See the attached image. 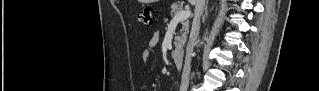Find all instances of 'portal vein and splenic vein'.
<instances>
[{"mask_svg": "<svg viewBox=\"0 0 319 91\" xmlns=\"http://www.w3.org/2000/svg\"><path fill=\"white\" fill-rule=\"evenodd\" d=\"M190 15H191V11H189V10H186V11H184V10H182V11H180V12H178L177 14H175V16L173 17V21L174 22H183V21H185V20H187L189 17H190Z\"/></svg>", "mask_w": 319, "mask_h": 91, "instance_id": "obj_1", "label": "portal vein and splenic vein"}]
</instances>
